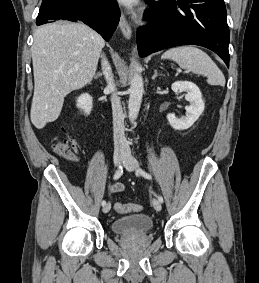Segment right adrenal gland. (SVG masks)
<instances>
[{
	"instance_id": "obj_1",
	"label": "right adrenal gland",
	"mask_w": 259,
	"mask_h": 283,
	"mask_svg": "<svg viewBox=\"0 0 259 283\" xmlns=\"http://www.w3.org/2000/svg\"><path fill=\"white\" fill-rule=\"evenodd\" d=\"M99 77H102V73L98 72L96 75H95V78H99Z\"/></svg>"
}]
</instances>
